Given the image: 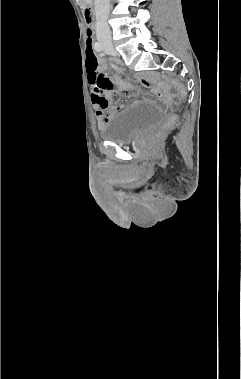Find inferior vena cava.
Listing matches in <instances>:
<instances>
[{"mask_svg":"<svg viewBox=\"0 0 241 379\" xmlns=\"http://www.w3.org/2000/svg\"><path fill=\"white\" fill-rule=\"evenodd\" d=\"M110 0H95L96 34L97 37L111 40V32L107 23Z\"/></svg>","mask_w":241,"mask_h":379,"instance_id":"obj_1","label":"inferior vena cava"}]
</instances>
